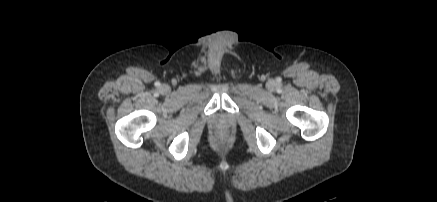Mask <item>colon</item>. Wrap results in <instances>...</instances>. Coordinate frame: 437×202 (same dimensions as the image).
<instances>
[{
  "label": "colon",
  "mask_w": 437,
  "mask_h": 202,
  "mask_svg": "<svg viewBox=\"0 0 437 202\" xmlns=\"http://www.w3.org/2000/svg\"><path fill=\"white\" fill-rule=\"evenodd\" d=\"M219 138H220V140H224V135L220 134Z\"/></svg>",
  "instance_id": "obj_1"
}]
</instances>
